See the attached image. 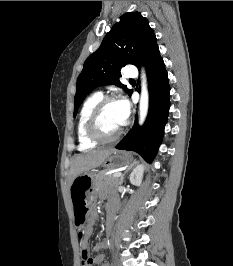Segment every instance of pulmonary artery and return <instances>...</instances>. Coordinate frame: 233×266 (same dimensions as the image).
Here are the masks:
<instances>
[{
  "instance_id": "pulmonary-artery-1",
  "label": "pulmonary artery",
  "mask_w": 233,
  "mask_h": 266,
  "mask_svg": "<svg viewBox=\"0 0 233 266\" xmlns=\"http://www.w3.org/2000/svg\"><path fill=\"white\" fill-rule=\"evenodd\" d=\"M125 75L129 78H135L137 77V71L134 68L130 67L126 70Z\"/></svg>"
}]
</instances>
